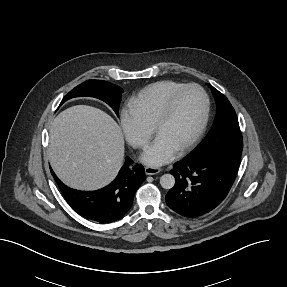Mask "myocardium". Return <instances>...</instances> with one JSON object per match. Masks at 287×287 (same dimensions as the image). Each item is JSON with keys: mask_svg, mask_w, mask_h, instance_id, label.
Segmentation results:
<instances>
[{"mask_svg": "<svg viewBox=\"0 0 287 287\" xmlns=\"http://www.w3.org/2000/svg\"><path fill=\"white\" fill-rule=\"evenodd\" d=\"M189 89H195L202 95L203 113H202L201 121H200L198 127L196 128V130L194 131V133L186 141V143L177 150L179 153H183V152L187 151L188 149H190L198 141V139L201 137V135L203 134V132L207 126L208 119H209V111H210V101H209V97H208L207 93L205 92V90L197 84H186V85H183L182 87L178 88L177 90H175L167 98L162 110L160 111L159 115L157 116V118H156V120L152 126V131L154 134H156L157 129L169 118V116L172 112V109H173V105H174L177 97L181 93H183L184 91L189 90Z\"/></svg>", "mask_w": 287, "mask_h": 287, "instance_id": "f54148a6", "label": "myocardium"}]
</instances>
